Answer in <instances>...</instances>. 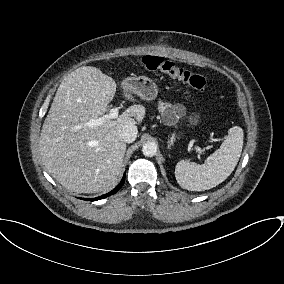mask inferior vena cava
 <instances>
[{
  "mask_svg": "<svg viewBox=\"0 0 284 284\" xmlns=\"http://www.w3.org/2000/svg\"><path fill=\"white\" fill-rule=\"evenodd\" d=\"M138 134L137 127L133 124L125 125L122 128L121 137L127 143L135 141Z\"/></svg>",
  "mask_w": 284,
  "mask_h": 284,
  "instance_id": "1",
  "label": "inferior vena cava"
}]
</instances>
